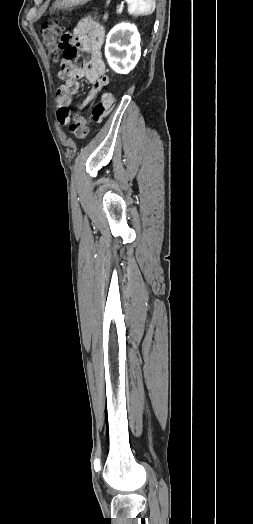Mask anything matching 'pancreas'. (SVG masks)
<instances>
[{
    "mask_svg": "<svg viewBox=\"0 0 253 524\" xmlns=\"http://www.w3.org/2000/svg\"><path fill=\"white\" fill-rule=\"evenodd\" d=\"M108 18V15H104V20L106 21Z\"/></svg>",
    "mask_w": 253,
    "mask_h": 524,
    "instance_id": "pancreas-1",
    "label": "pancreas"
}]
</instances>
